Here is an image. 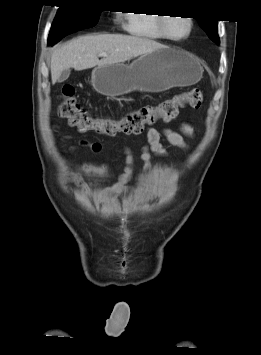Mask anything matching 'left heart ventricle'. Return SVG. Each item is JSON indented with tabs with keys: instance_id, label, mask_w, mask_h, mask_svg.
<instances>
[{
	"instance_id": "left-heart-ventricle-1",
	"label": "left heart ventricle",
	"mask_w": 261,
	"mask_h": 355,
	"mask_svg": "<svg viewBox=\"0 0 261 355\" xmlns=\"http://www.w3.org/2000/svg\"><path fill=\"white\" fill-rule=\"evenodd\" d=\"M189 25L184 18H171L168 22V31L173 37H183L188 33Z\"/></svg>"
}]
</instances>
